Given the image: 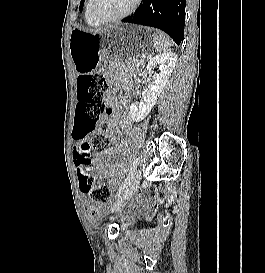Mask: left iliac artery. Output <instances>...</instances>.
I'll return each instance as SVG.
<instances>
[{
	"mask_svg": "<svg viewBox=\"0 0 265 273\" xmlns=\"http://www.w3.org/2000/svg\"><path fill=\"white\" fill-rule=\"evenodd\" d=\"M136 168H137V162H134L133 166L130 169V172H129L128 176L126 177L125 181L120 186V188H119V190H118V192L116 194V197H119L124 192L125 188H127V186L130 183V180H131Z\"/></svg>",
	"mask_w": 265,
	"mask_h": 273,
	"instance_id": "obj_1",
	"label": "left iliac artery"
}]
</instances>
